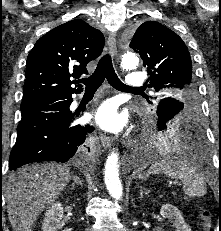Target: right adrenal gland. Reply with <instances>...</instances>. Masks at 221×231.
I'll use <instances>...</instances> for the list:
<instances>
[{
    "label": "right adrenal gland",
    "mask_w": 221,
    "mask_h": 231,
    "mask_svg": "<svg viewBox=\"0 0 221 231\" xmlns=\"http://www.w3.org/2000/svg\"><path fill=\"white\" fill-rule=\"evenodd\" d=\"M72 181H73L72 182V189H74L76 185H80L81 188L83 187L82 180L79 178V176L74 175L73 173H72Z\"/></svg>",
    "instance_id": "obj_1"
}]
</instances>
